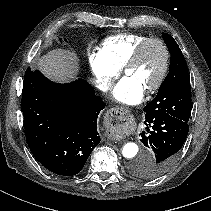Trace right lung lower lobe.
<instances>
[{
  "mask_svg": "<svg viewBox=\"0 0 211 211\" xmlns=\"http://www.w3.org/2000/svg\"><path fill=\"white\" fill-rule=\"evenodd\" d=\"M105 103L84 80L51 82L28 68L24 75L22 110L25 136L38 162L51 172L79 173L100 142L97 117Z\"/></svg>",
  "mask_w": 211,
  "mask_h": 211,
  "instance_id": "98d812e1",
  "label": "right lung lower lobe"
}]
</instances>
